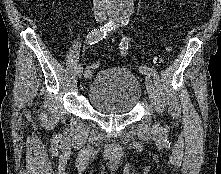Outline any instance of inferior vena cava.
<instances>
[{
	"label": "inferior vena cava",
	"mask_w": 221,
	"mask_h": 174,
	"mask_svg": "<svg viewBox=\"0 0 221 174\" xmlns=\"http://www.w3.org/2000/svg\"><path fill=\"white\" fill-rule=\"evenodd\" d=\"M95 17H106L107 3L106 0H93Z\"/></svg>",
	"instance_id": "inferior-vena-cava-1"
}]
</instances>
